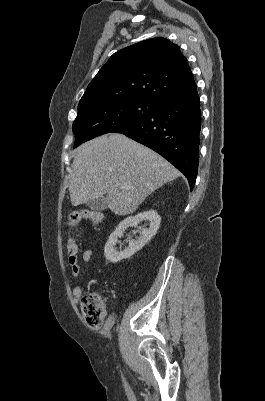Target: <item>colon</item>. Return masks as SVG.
Returning a JSON list of instances; mask_svg holds the SVG:
<instances>
[{
	"instance_id": "1",
	"label": "colon",
	"mask_w": 265,
	"mask_h": 401,
	"mask_svg": "<svg viewBox=\"0 0 265 401\" xmlns=\"http://www.w3.org/2000/svg\"><path fill=\"white\" fill-rule=\"evenodd\" d=\"M103 215L99 211L94 210H76L69 215V224L71 226L78 225L82 220H90L93 224H98L102 221ZM68 255L74 256L78 252V246L73 239L68 240L67 244ZM81 311L85 322L90 326H100L106 317V303L98 293L86 294L81 300Z\"/></svg>"
}]
</instances>
